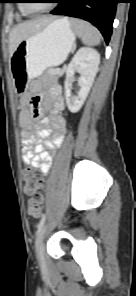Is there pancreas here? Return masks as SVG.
Returning <instances> with one entry per match:
<instances>
[{
    "instance_id": "1",
    "label": "pancreas",
    "mask_w": 136,
    "mask_h": 296,
    "mask_svg": "<svg viewBox=\"0 0 136 296\" xmlns=\"http://www.w3.org/2000/svg\"><path fill=\"white\" fill-rule=\"evenodd\" d=\"M55 70L52 69V68H49L47 71H46V75L48 76H52L54 74Z\"/></svg>"
}]
</instances>
